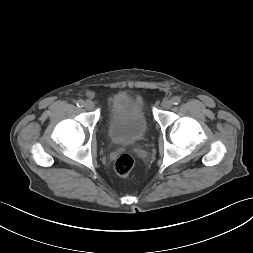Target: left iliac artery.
Wrapping results in <instances>:
<instances>
[{
    "mask_svg": "<svg viewBox=\"0 0 253 253\" xmlns=\"http://www.w3.org/2000/svg\"><path fill=\"white\" fill-rule=\"evenodd\" d=\"M171 102H172L173 105H177V104H179L181 102V99H180V97L176 96V97H173L171 99Z\"/></svg>",
    "mask_w": 253,
    "mask_h": 253,
    "instance_id": "left-iliac-artery-1",
    "label": "left iliac artery"
}]
</instances>
